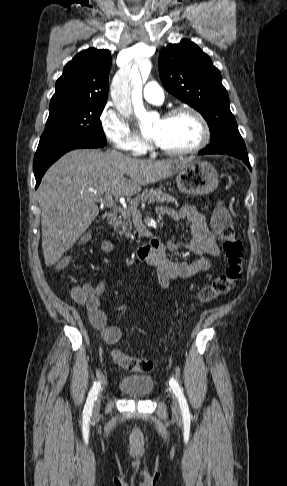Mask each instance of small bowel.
<instances>
[{"label": "small bowel", "mask_w": 287, "mask_h": 486, "mask_svg": "<svg viewBox=\"0 0 287 486\" xmlns=\"http://www.w3.org/2000/svg\"><path fill=\"white\" fill-rule=\"evenodd\" d=\"M158 213L167 215L176 222H185V238L181 241L167 240L161 242L154 255L146 262L156 267L160 286L167 289L174 280L188 278L198 272L208 270L212 258L220 255V249L214 234L207 226L205 216L192 205H184L179 211L160 207ZM104 253L113 250V244L105 240L101 245ZM184 252L196 257L192 262L177 260L172 253ZM68 259V257H65ZM106 281L100 280L96 285L83 282L81 289L86 295L85 307L92 326L100 333L106 344H115L121 338V330L108 322L105 312L100 307V297L105 291Z\"/></svg>", "instance_id": "1"}]
</instances>
